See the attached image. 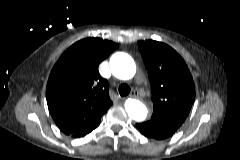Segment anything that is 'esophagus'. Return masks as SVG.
<instances>
[{"mask_svg":"<svg viewBox=\"0 0 240 160\" xmlns=\"http://www.w3.org/2000/svg\"><path fill=\"white\" fill-rule=\"evenodd\" d=\"M131 98H139V92L138 90H134L131 94H130Z\"/></svg>","mask_w":240,"mask_h":160,"instance_id":"34e87169","label":"esophagus"}]
</instances>
